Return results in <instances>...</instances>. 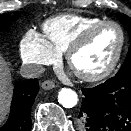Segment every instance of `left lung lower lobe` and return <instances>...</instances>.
Instances as JSON below:
<instances>
[{"instance_id": "0a47b994", "label": "left lung lower lobe", "mask_w": 131, "mask_h": 131, "mask_svg": "<svg viewBox=\"0 0 131 131\" xmlns=\"http://www.w3.org/2000/svg\"><path fill=\"white\" fill-rule=\"evenodd\" d=\"M82 92L77 131H131V71Z\"/></svg>"}]
</instances>
